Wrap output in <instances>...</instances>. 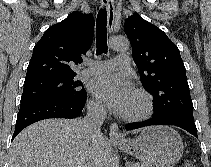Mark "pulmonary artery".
<instances>
[{"label":"pulmonary artery","mask_w":211,"mask_h":167,"mask_svg":"<svg viewBox=\"0 0 211 167\" xmlns=\"http://www.w3.org/2000/svg\"><path fill=\"white\" fill-rule=\"evenodd\" d=\"M131 68V59L128 55L120 54L115 59L99 61L82 70V75L106 74L113 70H129Z\"/></svg>","instance_id":"1"}]
</instances>
